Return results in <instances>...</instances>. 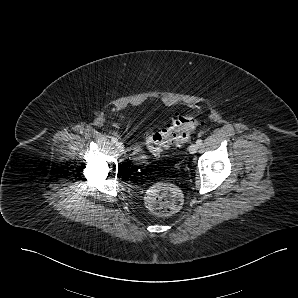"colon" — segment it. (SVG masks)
Listing matches in <instances>:
<instances>
[{"label":"colon","mask_w":298,"mask_h":298,"mask_svg":"<svg viewBox=\"0 0 298 298\" xmlns=\"http://www.w3.org/2000/svg\"><path fill=\"white\" fill-rule=\"evenodd\" d=\"M196 126L197 120L193 116H178L170 125L151 133L146 140L147 146L152 153L159 154L187 141ZM182 203L181 190L169 182H158L146 193L147 208L156 215L173 214L181 208Z\"/></svg>","instance_id":"5ec220e1"}]
</instances>
